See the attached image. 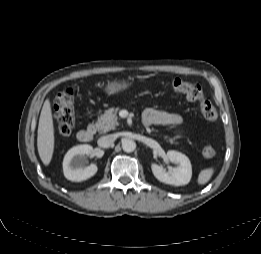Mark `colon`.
<instances>
[{"label": "colon", "mask_w": 261, "mask_h": 254, "mask_svg": "<svg viewBox=\"0 0 261 254\" xmlns=\"http://www.w3.org/2000/svg\"><path fill=\"white\" fill-rule=\"evenodd\" d=\"M172 88L175 92L184 94L188 100L197 102L206 120H218V112L213 104L204 97L200 84L175 79L172 82ZM73 101L74 90L72 88L61 91L54 100V122L58 132L63 136L69 135L74 126ZM202 154L205 158H212L215 156L216 150L212 146H205L202 150Z\"/></svg>", "instance_id": "colon-1"}]
</instances>
